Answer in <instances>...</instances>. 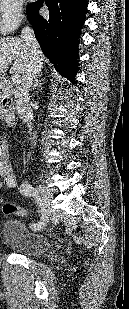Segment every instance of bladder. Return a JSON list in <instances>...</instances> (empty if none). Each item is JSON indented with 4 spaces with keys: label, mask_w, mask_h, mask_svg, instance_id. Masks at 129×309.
<instances>
[{
    "label": "bladder",
    "mask_w": 129,
    "mask_h": 309,
    "mask_svg": "<svg viewBox=\"0 0 129 309\" xmlns=\"http://www.w3.org/2000/svg\"><path fill=\"white\" fill-rule=\"evenodd\" d=\"M2 240L7 247L25 256H37L50 246L47 236L31 230L22 220L8 219L1 230Z\"/></svg>",
    "instance_id": "1"
}]
</instances>
